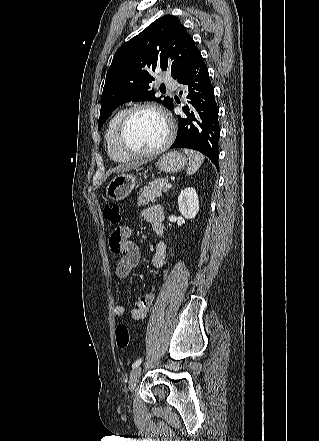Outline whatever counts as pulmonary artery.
Segmentation results:
<instances>
[{
  "label": "pulmonary artery",
  "mask_w": 319,
  "mask_h": 441,
  "mask_svg": "<svg viewBox=\"0 0 319 441\" xmlns=\"http://www.w3.org/2000/svg\"><path fill=\"white\" fill-rule=\"evenodd\" d=\"M162 82L172 89L176 88V82L169 76H163Z\"/></svg>",
  "instance_id": "obj_1"
}]
</instances>
